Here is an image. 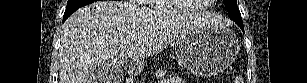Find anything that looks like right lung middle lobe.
Masks as SVG:
<instances>
[{
  "instance_id": "obj_1",
  "label": "right lung middle lobe",
  "mask_w": 307,
  "mask_h": 83,
  "mask_svg": "<svg viewBox=\"0 0 307 83\" xmlns=\"http://www.w3.org/2000/svg\"><path fill=\"white\" fill-rule=\"evenodd\" d=\"M95 0H68L65 12L77 10L78 8L93 3Z\"/></svg>"
}]
</instances>
